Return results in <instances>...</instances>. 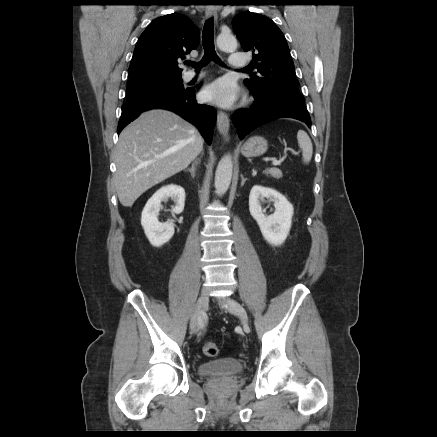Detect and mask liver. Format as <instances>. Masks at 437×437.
<instances>
[{"instance_id":"6515ba94","label":"liver","mask_w":437,"mask_h":437,"mask_svg":"<svg viewBox=\"0 0 437 437\" xmlns=\"http://www.w3.org/2000/svg\"><path fill=\"white\" fill-rule=\"evenodd\" d=\"M202 148L198 130L177 114L142 113L120 133L114 150L120 203L131 207L148 189L187 168Z\"/></svg>"}]
</instances>
